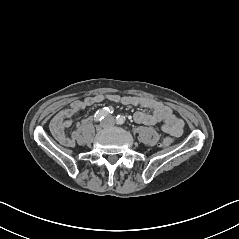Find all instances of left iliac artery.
Returning a JSON list of instances; mask_svg holds the SVG:
<instances>
[{
  "instance_id": "left-iliac-artery-1",
  "label": "left iliac artery",
  "mask_w": 239,
  "mask_h": 239,
  "mask_svg": "<svg viewBox=\"0 0 239 239\" xmlns=\"http://www.w3.org/2000/svg\"><path fill=\"white\" fill-rule=\"evenodd\" d=\"M116 122L118 125H123L125 123V117L122 115H118L116 117Z\"/></svg>"
}]
</instances>
